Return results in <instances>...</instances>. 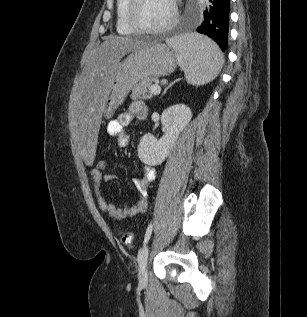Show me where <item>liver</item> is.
Returning <instances> with one entry per match:
<instances>
[{
	"label": "liver",
	"mask_w": 307,
	"mask_h": 317,
	"mask_svg": "<svg viewBox=\"0 0 307 317\" xmlns=\"http://www.w3.org/2000/svg\"><path fill=\"white\" fill-rule=\"evenodd\" d=\"M143 45L142 41L110 35L94 51L73 88L69 105L71 138L79 149L83 167H94V149L104 100L120 59Z\"/></svg>",
	"instance_id": "obj_1"
}]
</instances>
